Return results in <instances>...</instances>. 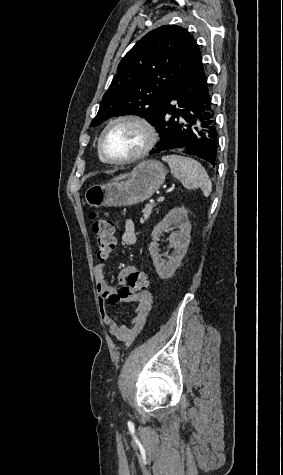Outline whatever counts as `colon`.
<instances>
[{
  "label": "colon",
  "instance_id": "5ec220e1",
  "mask_svg": "<svg viewBox=\"0 0 283 475\" xmlns=\"http://www.w3.org/2000/svg\"><path fill=\"white\" fill-rule=\"evenodd\" d=\"M90 224L95 236L97 258L106 260L115 251V228L105 216H99L96 211L90 213ZM148 273L143 270L134 271L127 275V284L119 289V298H128L147 289Z\"/></svg>",
  "mask_w": 283,
  "mask_h": 475
}]
</instances>
